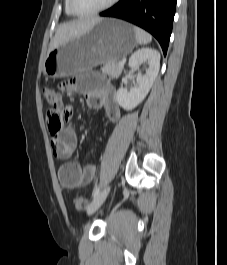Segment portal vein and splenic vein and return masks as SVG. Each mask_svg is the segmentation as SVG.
<instances>
[{
  "mask_svg": "<svg viewBox=\"0 0 227 265\" xmlns=\"http://www.w3.org/2000/svg\"><path fill=\"white\" fill-rule=\"evenodd\" d=\"M120 67H123L124 66V61H121L118 63Z\"/></svg>",
  "mask_w": 227,
  "mask_h": 265,
  "instance_id": "portal-vein-and-splenic-vein-1",
  "label": "portal vein and splenic vein"
}]
</instances>
